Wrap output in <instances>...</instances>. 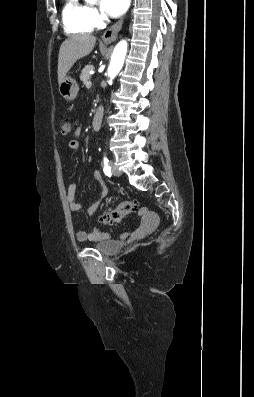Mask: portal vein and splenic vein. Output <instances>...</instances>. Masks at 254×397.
Wrapping results in <instances>:
<instances>
[{
	"label": "portal vein and splenic vein",
	"instance_id": "portal-vein-and-splenic-vein-1",
	"mask_svg": "<svg viewBox=\"0 0 254 397\" xmlns=\"http://www.w3.org/2000/svg\"><path fill=\"white\" fill-rule=\"evenodd\" d=\"M91 84H92L91 81H88V82L86 83V86H87V87H90Z\"/></svg>",
	"mask_w": 254,
	"mask_h": 397
}]
</instances>
